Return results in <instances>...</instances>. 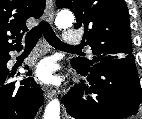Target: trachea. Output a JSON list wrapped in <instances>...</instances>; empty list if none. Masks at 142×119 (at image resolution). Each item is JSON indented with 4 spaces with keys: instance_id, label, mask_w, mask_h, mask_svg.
<instances>
[{
    "instance_id": "1",
    "label": "trachea",
    "mask_w": 142,
    "mask_h": 119,
    "mask_svg": "<svg viewBox=\"0 0 142 119\" xmlns=\"http://www.w3.org/2000/svg\"><path fill=\"white\" fill-rule=\"evenodd\" d=\"M44 35L47 42L60 49H80L79 46H71L63 43L55 34L49 23L42 21L38 26L34 27L25 37V44L27 48H33L41 35Z\"/></svg>"
}]
</instances>
